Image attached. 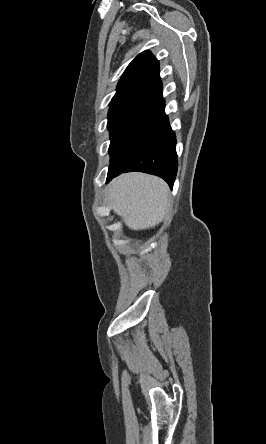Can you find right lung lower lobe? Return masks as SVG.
Segmentation results:
<instances>
[{"instance_id":"98d812e1","label":"right lung lower lobe","mask_w":266,"mask_h":444,"mask_svg":"<svg viewBox=\"0 0 266 444\" xmlns=\"http://www.w3.org/2000/svg\"><path fill=\"white\" fill-rule=\"evenodd\" d=\"M176 138L164 110L110 159L109 182L121 173L157 175L173 187L177 173Z\"/></svg>"}]
</instances>
